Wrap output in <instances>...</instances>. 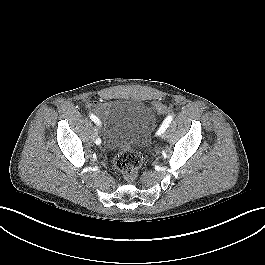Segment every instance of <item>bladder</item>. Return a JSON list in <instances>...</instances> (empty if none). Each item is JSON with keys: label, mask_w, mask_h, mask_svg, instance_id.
I'll return each mask as SVG.
<instances>
[{"label": "bladder", "mask_w": 265, "mask_h": 265, "mask_svg": "<svg viewBox=\"0 0 265 265\" xmlns=\"http://www.w3.org/2000/svg\"><path fill=\"white\" fill-rule=\"evenodd\" d=\"M155 121L154 112L142 102L110 101L104 121L105 146L117 151L145 147Z\"/></svg>", "instance_id": "obj_1"}]
</instances>
